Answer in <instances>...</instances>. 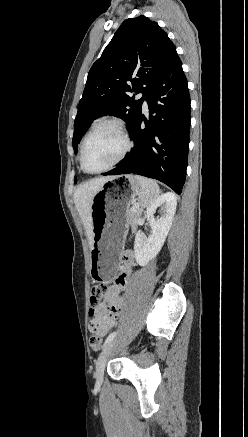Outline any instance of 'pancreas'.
<instances>
[{"mask_svg":"<svg viewBox=\"0 0 248 437\" xmlns=\"http://www.w3.org/2000/svg\"><path fill=\"white\" fill-rule=\"evenodd\" d=\"M140 215L141 209L134 207V205L127 210V221L133 229L136 228Z\"/></svg>","mask_w":248,"mask_h":437,"instance_id":"1","label":"pancreas"}]
</instances>
